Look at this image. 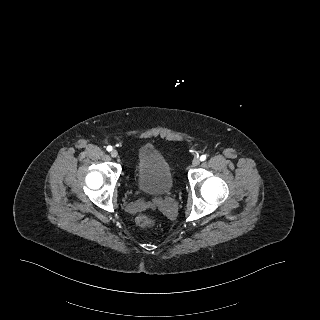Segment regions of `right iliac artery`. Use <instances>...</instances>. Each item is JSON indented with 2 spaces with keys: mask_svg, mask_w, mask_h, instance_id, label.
<instances>
[{
  "mask_svg": "<svg viewBox=\"0 0 320 320\" xmlns=\"http://www.w3.org/2000/svg\"><path fill=\"white\" fill-rule=\"evenodd\" d=\"M106 149H107V151H109V152H110V151H112V146H107V148H106Z\"/></svg>",
  "mask_w": 320,
  "mask_h": 320,
  "instance_id": "1",
  "label": "right iliac artery"
}]
</instances>
